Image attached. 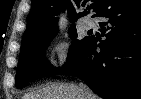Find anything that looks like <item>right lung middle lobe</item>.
Instances as JSON below:
<instances>
[{"mask_svg":"<svg viewBox=\"0 0 141 99\" xmlns=\"http://www.w3.org/2000/svg\"><path fill=\"white\" fill-rule=\"evenodd\" d=\"M57 32L46 35L30 43L21 45L20 58L17 66L15 84L16 87L21 88L27 82L34 78L46 77L57 74L61 69H53L45 60L44 53L49 46L51 40ZM71 38L74 39L72 48L68 54L65 68L76 57L81 48L87 43L90 37H85L82 40H76L77 37L75 26L71 27Z\"/></svg>","mask_w":141,"mask_h":99,"instance_id":"right-lung-middle-lobe-1","label":"right lung middle lobe"}]
</instances>
